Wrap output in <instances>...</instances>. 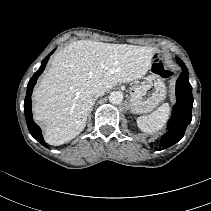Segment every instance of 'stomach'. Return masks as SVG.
<instances>
[{
	"label": "stomach",
	"mask_w": 211,
	"mask_h": 211,
	"mask_svg": "<svg viewBox=\"0 0 211 211\" xmlns=\"http://www.w3.org/2000/svg\"><path fill=\"white\" fill-rule=\"evenodd\" d=\"M131 111L136 114L154 110L166 97V86L158 70L151 66L150 74L130 91Z\"/></svg>",
	"instance_id": "obj_1"
}]
</instances>
